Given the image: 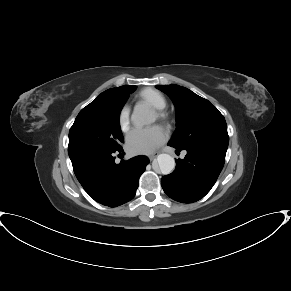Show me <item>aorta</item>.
Instances as JSON below:
<instances>
[{"mask_svg": "<svg viewBox=\"0 0 291 291\" xmlns=\"http://www.w3.org/2000/svg\"><path fill=\"white\" fill-rule=\"evenodd\" d=\"M131 121L135 126L141 127L152 123L154 121V116L148 106L138 104L134 107ZM156 161L160 172L164 175L170 174L175 168V160L169 154H159Z\"/></svg>", "mask_w": 291, "mask_h": 291, "instance_id": "obj_1", "label": "aorta"}]
</instances>
